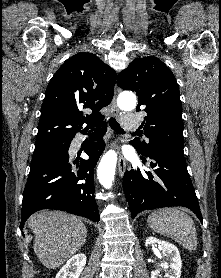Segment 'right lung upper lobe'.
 Instances as JSON below:
<instances>
[{
    "mask_svg": "<svg viewBox=\"0 0 221 278\" xmlns=\"http://www.w3.org/2000/svg\"><path fill=\"white\" fill-rule=\"evenodd\" d=\"M116 77V72L92 53L69 58L46 89L35 146L69 139L102 122L100 109L111 103ZM83 110H92V114L84 116Z\"/></svg>",
    "mask_w": 221,
    "mask_h": 278,
    "instance_id": "cb5924a9",
    "label": "right lung upper lobe"
}]
</instances>
